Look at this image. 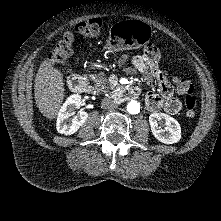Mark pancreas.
<instances>
[{
	"instance_id": "obj_1",
	"label": "pancreas",
	"mask_w": 221,
	"mask_h": 221,
	"mask_svg": "<svg viewBox=\"0 0 221 221\" xmlns=\"http://www.w3.org/2000/svg\"><path fill=\"white\" fill-rule=\"evenodd\" d=\"M90 80L94 82V89L97 93L106 92L109 88H114V85L110 84L107 80L106 75L103 73L89 75Z\"/></svg>"
}]
</instances>
